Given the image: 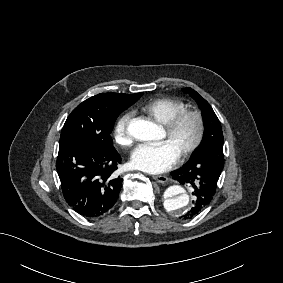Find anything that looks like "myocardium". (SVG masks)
I'll return each instance as SVG.
<instances>
[{"label":"myocardium","instance_id":"1","mask_svg":"<svg viewBox=\"0 0 283 283\" xmlns=\"http://www.w3.org/2000/svg\"><path fill=\"white\" fill-rule=\"evenodd\" d=\"M189 117H192L196 121V134L193 141L180 154V159L183 160L195 153L203 142L205 121L202 113L198 110L186 109L171 117L165 125L166 132L171 135L176 132L181 123Z\"/></svg>","mask_w":283,"mask_h":283}]
</instances>
